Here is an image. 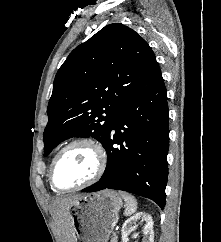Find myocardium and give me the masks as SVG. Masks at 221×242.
Returning <instances> with one entry per match:
<instances>
[{"mask_svg": "<svg viewBox=\"0 0 221 242\" xmlns=\"http://www.w3.org/2000/svg\"><path fill=\"white\" fill-rule=\"evenodd\" d=\"M78 144H85L88 145L89 147H91V149L94 151L95 153V157H96V168L95 171L93 173V175L87 179L86 181L78 184V185H74L71 187H67V188H61L58 187L55 183L54 180V169L55 166L58 162V160L60 159V157L63 155V153L69 149L70 147L74 146V145H78ZM106 164H107V156H106V152L103 148V146L96 141L93 138L90 137H77L72 139L71 141H69L68 143H66L57 153L56 155L53 157L51 164H50V168H49V182L50 185L52 186V188L58 190V191H63V192H67V191H74V190H78V189H82L85 188L87 186H90L91 184L95 183L97 180L100 179V177L103 175L105 168H106Z\"/></svg>", "mask_w": 221, "mask_h": 242, "instance_id": "1", "label": "myocardium"}]
</instances>
